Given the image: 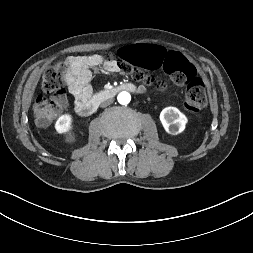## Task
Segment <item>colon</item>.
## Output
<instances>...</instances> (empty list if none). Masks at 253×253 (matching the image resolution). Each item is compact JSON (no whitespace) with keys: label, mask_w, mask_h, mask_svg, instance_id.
<instances>
[{"label":"colon","mask_w":253,"mask_h":253,"mask_svg":"<svg viewBox=\"0 0 253 253\" xmlns=\"http://www.w3.org/2000/svg\"><path fill=\"white\" fill-rule=\"evenodd\" d=\"M118 66L136 80L153 85L159 90L167 87V82L139 69L143 68L156 74L167 72L174 83L185 85L184 107L191 117L207 105L204 82L197 77L194 66L178 48L169 50L164 44L148 40L144 44L134 43L124 46L119 51ZM104 60L113 61L110 52L102 55ZM137 66V67H136ZM68 71L67 62H58L44 70L42 78L43 94L34 105L36 122L40 126L49 125L61 112L65 104V77Z\"/></svg>","instance_id":"obj_1"}]
</instances>
